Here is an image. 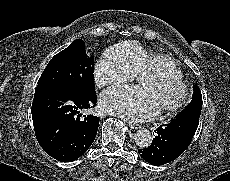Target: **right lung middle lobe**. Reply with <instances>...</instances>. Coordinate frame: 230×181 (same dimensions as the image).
<instances>
[{
  "label": "right lung middle lobe",
  "mask_w": 230,
  "mask_h": 181,
  "mask_svg": "<svg viewBox=\"0 0 230 181\" xmlns=\"http://www.w3.org/2000/svg\"><path fill=\"white\" fill-rule=\"evenodd\" d=\"M93 56H87L82 40L56 54L43 71L35 92L47 89L73 90L96 95Z\"/></svg>",
  "instance_id": "obj_1"
}]
</instances>
